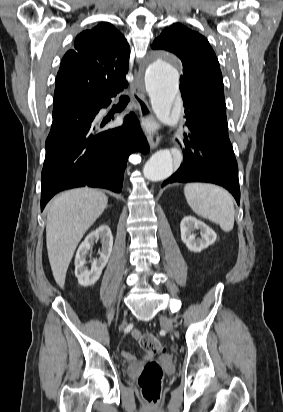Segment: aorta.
<instances>
[{"instance_id": "1", "label": "aorta", "mask_w": 283, "mask_h": 412, "mask_svg": "<svg viewBox=\"0 0 283 412\" xmlns=\"http://www.w3.org/2000/svg\"><path fill=\"white\" fill-rule=\"evenodd\" d=\"M145 86L156 117L164 124L174 121L173 108L179 95V73L165 54L159 53L148 64ZM174 170V160L170 150H159L145 164L143 173L150 181L167 179Z\"/></svg>"}]
</instances>
